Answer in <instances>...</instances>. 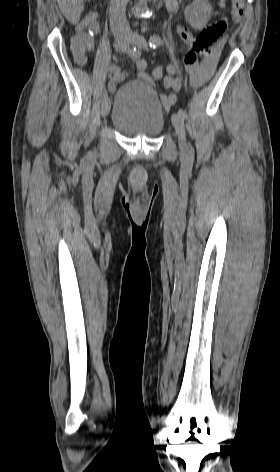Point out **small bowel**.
I'll return each instance as SVG.
<instances>
[{
	"label": "small bowel",
	"mask_w": 280,
	"mask_h": 472,
	"mask_svg": "<svg viewBox=\"0 0 280 472\" xmlns=\"http://www.w3.org/2000/svg\"><path fill=\"white\" fill-rule=\"evenodd\" d=\"M226 4V0H219V8H223ZM166 7L172 12L179 10L178 0H166ZM90 24H93V17L86 18L78 27L72 38V51L78 61V63H85L86 54L94 49L95 43L90 35L84 33V28ZM176 32L179 37L187 43L191 44L194 40V36L190 28L186 26H178ZM226 38H224V41ZM220 49H217L210 57L203 59L196 65H186V71L190 78V85L192 88H199L203 86L213 76L219 59ZM136 66L138 71V77L143 81H150L149 75L146 72L147 62L145 59H137ZM125 78L124 73H119L117 76H113L111 79L109 88L111 91L116 89L117 83ZM164 85L167 88L171 87L170 77L164 78ZM176 97L172 94H162L161 101L166 110H169L175 103Z\"/></svg>",
	"instance_id": "c3829d8e"
}]
</instances>
